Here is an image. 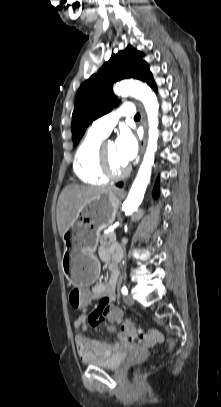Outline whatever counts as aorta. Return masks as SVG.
<instances>
[{
    "mask_svg": "<svg viewBox=\"0 0 221 407\" xmlns=\"http://www.w3.org/2000/svg\"><path fill=\"white\" fill-rule=\"evenodd\" d=\"M114 93L121 96L131 95L139 99L145 107L149 125V138L146 152L144 154L138 174L132 184L126 200L123 203V210L125 214L130 215L136 211L138 206L141 204L147 185L150 181L155 152L157 151V140L159 137V103L151 88L139 81L125 80L117 83L114 87Z\"/></svg>",
    "mask_w": 221,
    "mask_h": 407,
    "instance_id": "aorta-1",
    "label": "aorta"
}]
</instances>
